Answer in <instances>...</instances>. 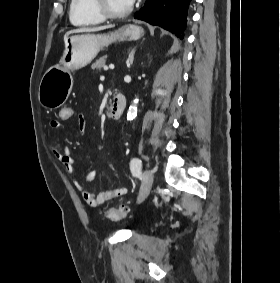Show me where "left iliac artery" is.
<instances>
[{"label": "left iliac artery", "mask_w": 280, "mask_h": 283, "mask_svg": "<svg viewBox=\"0 0 280 283\" xmlns=\"http://www.w3.org/2000/svg\"><path fill=\"white\" fill-rule=\"evenodd\" d=\"M142 162L139 158H133L130 162V169L134 176L141 174Z\"/></svg>", "instance_id": "1"}]
</instances>
